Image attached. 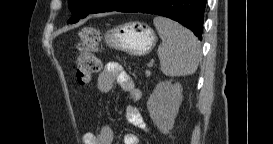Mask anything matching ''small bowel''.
<instances>
[{
    "instance_id": "c3829d8e",
    "label": "small bowel",
    "mask_w": 273,
    "mask_h": 144,
    "mask_svg": "<svg viewBox=\"0 0 273 144\" xmlns=\"http://www.w3.org/2000/svg\"><path fill=\"white\" fill-rule=\"evenodd\" d=\"M118 84L125 92L130 102H136L141 97L140 90L135 86L133 79L118 65L108 64L99 74L97 87L101 92H108ZM126 117L130 124L147 131V125L140 112L133 105L126 109ZM113 131L109 127H102L97 133L87 132L83 135L85 144H111ZM124 144H138L139 139L135 133L127 132L123 136Z\"/></svg>"
}]
</instances>
